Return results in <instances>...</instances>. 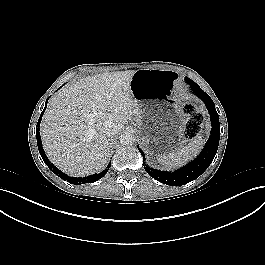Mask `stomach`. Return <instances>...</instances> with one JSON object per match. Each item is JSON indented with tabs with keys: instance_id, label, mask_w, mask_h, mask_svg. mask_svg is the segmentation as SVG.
Listing matches in <instances>:
<instances>
[{
	"instance_id": "0dacf381",
	"label": "stomach",
	"mask_w": 265,
	"mask_h": 265,
	"mask_svg": "<svg viewBox=\"0 0 265 265\" xmlns=\"http://www.w3.org/2000/svg\"><path fill=\"white\" fill-rule=\"evenodd\" d=\"M177 78L169 70L140 69L130 82L138 111L135 121L147 153L158 161L173 157L184 139L181 103L174 100Z\"/></svg>"
}]
</instances>
